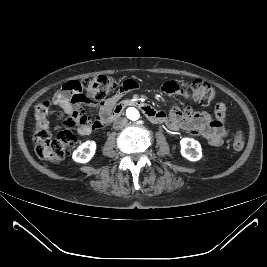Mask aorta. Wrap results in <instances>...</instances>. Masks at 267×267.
<instances>
[{
    "mask_svg": "<svg viewBox=\"0 0 267 267\" xmlns=\"http://www.w3.org/2000/svg\"><path fill=\"white\" fill-rule=\"evenodd\" d=\"M126 117L131 121H137L140 118V110L136 107H129L126 110Z\"/></svg>",
    "mask_w": 267,
    "mask_h": 267,
    "instance_id": "obj_1",
    "label": "aorta"
}]
</instances>
